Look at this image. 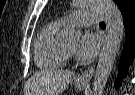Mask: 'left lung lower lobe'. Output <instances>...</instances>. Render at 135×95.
<instances>
[{"instance_id":"obj_1","label":"left lung lower lobe","mask_w":135,"mask_h":95,"mask_svg":"<svg viewBox=\"0 0 135 95\" xmlns=\"http://www.w3.org/2000/svg\"><path fill=\"white\" fill-rule=\"evenodd\" d=\"M121 13L125 27V44L119 60V72L114 85L116 88L120 86L121 79L125 76L127 68L135 55V2L130 8Z\"/></svg>"}]
</instances>
